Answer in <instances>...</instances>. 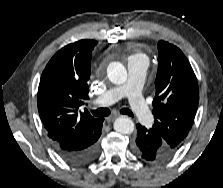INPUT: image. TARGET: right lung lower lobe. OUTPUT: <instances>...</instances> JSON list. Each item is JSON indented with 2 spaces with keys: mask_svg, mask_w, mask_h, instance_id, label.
<instances>
[{
  "mask_svg": "<svg viewBox=\"0 0 223 188\" xmlns=\"http://www.w3.org/2000/svg\"><path fill=\"white\" fill-rule=\"evenodd\" d=\"M104 119L97 124L95 129L78 141L55 143V151L67 162L74 165H85L93 161L99 153L98 139L101 135Z\"/></svg>",
  "mask_w": 223,
  "mask_h": 188,
  "instance_id": "1",
  "label": "right lung lower lobe"
}]
</instances>
